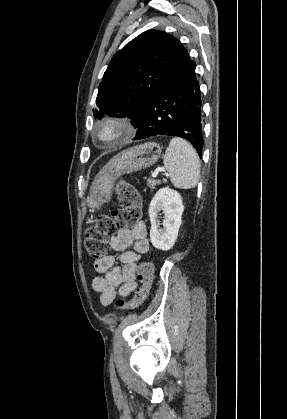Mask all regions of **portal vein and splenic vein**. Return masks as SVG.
Wrapping results in <instances>:
<instances>
[{
  "label": "portal vein and splenic vein",
  "mask_w": 287,
  "mask_h": 419,
  "mask_svg": "<svg viewBox=\"0 0 287 419\" xmlns=\"http://www.w3.org/2000/svg\"><path fill=\"white\" fill-rule=\"evenodd\" d=\"M160 171H165L163 168H160V169H156L153 173H152V177L153 178H155V177H157V175H158V173L160 172Z\"/></svg>",
  "instance_id": "obj_1"
}]
</instances>
